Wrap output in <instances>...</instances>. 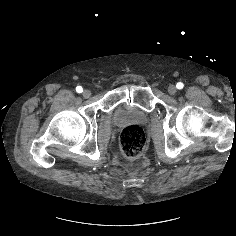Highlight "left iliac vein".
<instances>
[{"mask_svg":"<svg viewBox=\"0 0 236 236\" xmlns=\"http://www.w3.org/2000/svg\"><path fill=\"white\" fill-rule=\"evenodd\" d=\"M168 92H169V94H171V95L175 94V93L177 92L176 86H175V85H169V86H168Z\"/></svg>","mask_w":236,"mask_h":236,"instance_id":"left-iliac-vein-1","label":"left iliac vein"}]
</instances>
